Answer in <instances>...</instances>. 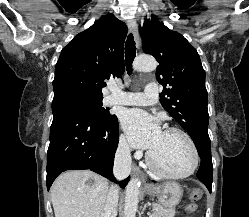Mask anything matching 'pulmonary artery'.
Masks as SVG:
<instances>
[{"label":"pulmonary artery","instance_id":"e3ab8cb5","mask_svg":"<svg viewBox=\"0 0 249 217\" xmlns=\"http://www.w3.org/2000/svg\"><path fill=\"white\" fill-rule=\"evenodd\" d=\"M158 87L156 84H148L143 92H120L113 95L110 104L148 106L157 103Z\"/></svg>","mask_w":249,"mask_h":217}]
</instances>
